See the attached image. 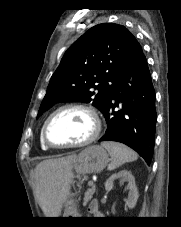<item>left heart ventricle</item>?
<instances>
[{
	"instance_id": "1",
	"label": "left heart ventricle",
	"mask_w": 181,
	"mask_h": 227,
	"mask_svg": "<svg viewBox=\"0 0 181 227\" xmlns=\"http://www.w3.org/2000/svg\"><path fill=\"white\" fill-rule=\"evenodd\" d=\"M92 121L87 113L77 109H67L58 113L50 122L48 135L57 144L81 141L92 131Z\"/></svg>"
}]
</instances>
